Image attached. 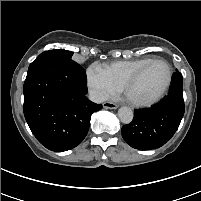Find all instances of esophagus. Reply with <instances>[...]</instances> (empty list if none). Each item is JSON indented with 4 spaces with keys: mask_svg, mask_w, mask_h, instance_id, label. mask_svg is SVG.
Masks as SVG:
<instances>
[{
    "mask_svg": "<svg viewBox=\"0 0 201 201\" xmlns=\"http://www.w3.org/2000/svg\"><path fill=\"white\" fill-rule=\"evenodd\" d=\"M103 107L105 109H116V108H118V105L113 102H104Z\"/></svg>",
    "mask_w": 201,
    "mask_h": 201,
    "instance_id": "1",
    "label": "esophagus"
}]
</instances>
